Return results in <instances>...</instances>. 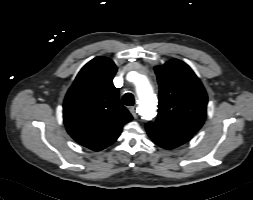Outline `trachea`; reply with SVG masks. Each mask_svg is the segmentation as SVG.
Listing matches in <instances>:
<instances>
[{
    "instance_id": "3493384b",
    "label": "trachea",
    "mask_w": 253,
    "mask_h": 200,
    "mask_svg": "<svg viewBox=\"0 0 253 200\" xmlns=\"http://www.w3.org/2000/svg\"><path fill=\"white\" fill-rule=\"evenodd\" d=\"M122 103L126 106H133L134 104V96L131 93H126L123 97H122Z\"/></svg>"
}]
</instances>
